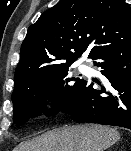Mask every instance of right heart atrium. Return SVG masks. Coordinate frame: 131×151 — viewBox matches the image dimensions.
<instances>
[{
	"label": "right heart atrium",
	"instance_id": "obj_1",
	"mask_svg": "<svg viewBox=\"0 0 131 151\" xmlns=\"http://www.w3.org/2000/svg\"><path fill=\"white\" fill-rule=\"evenodd\" d=\"M43 103L46 108H49L52 104V99L50 97H46Z\"/></svg>",
	"mask_w": 131,
	"mask_h": 151
}]
</instances>
